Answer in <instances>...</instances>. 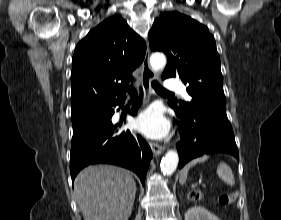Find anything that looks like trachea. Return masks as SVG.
Returning a JSON list of instances; mask_svg holds the SVG:
<instances>
[{
	"label": "trachea",
	"instance_id": "3493384b",
	"mask_svg": "<svg viewBox=\"0 0 281 220\" xmlns=\"http://www.w3.org/2000/svg\"><path fill=\"white\" fill-rule=\"evenodd\" d=\"M152 86L155 89V91L160 93V94L173 95V93L164 89L157 81H152ZM130 93H131L132 96H134V95H136V90L133 89V90L130 91Z\"/></svg>",
	"mask_w": 281,
	"mask_h": 220
}]
</instances>
